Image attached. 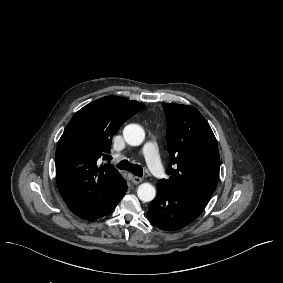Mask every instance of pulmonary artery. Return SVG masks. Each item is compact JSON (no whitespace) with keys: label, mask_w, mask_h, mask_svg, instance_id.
Listing matches in <instances>:
<instances>
[{"label":"pulmonary artery","mask_w":283,"mask_h":283,"mask_svg":"<svg viewBox=\"0 0 283 283\" xmlns=\"http://www.w3.org/2000/svg\"><path fill=\"white\" fill-rule=\"evenodd\" d=\"M158 151V146L152 141H148L141 148L140 152L142 160L146 166L154 174L157 179H162L165 176L164 165L162 157L159 154H155Z\"/></svg>","instance_id":"pulmonary-artery-1"}]
</instances>
